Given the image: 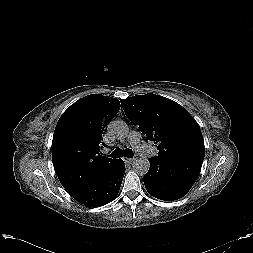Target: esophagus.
I'll list each match as a JSON object with an SVG mask.
<instances>
[{
    "label": "esophagus",
    "instance_id": "34e87169",
    "mask_svg": "<svg viewBox=\"0 0 253 253\" xmlns=\"http://www.w3.org/2000/svg\"><path fill=\"white\" fill-rule=\"evenodd\" d=\"M133 161H135V158H126L125 162L127 163H132Z\"/></svg>",
    "mask_w": 253,
    "mask_h": 253
}]
</instances>
